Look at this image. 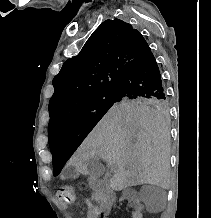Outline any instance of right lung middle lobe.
<instances>
[{"mask_svg": "<svg viewBox=\"0 0 211 218\" xmlns=\"http://www.w3.org/2000/svg\"><path fill=\"white\" fill-rule=\"evenodd\" d=\"M113 105L126 107L147 105L161 112L168 110L166 98H127L118 96L114 91H109L67 111L48 126L50 147L64 143H72L78 147ZM64 164L65 162H53L54 176L60 173Z\"/></svg>", "mask_w": 211, "mask_h": 218, "instance_id": "obj_1", "label": "right lung middle lobe"}]
</instances>
